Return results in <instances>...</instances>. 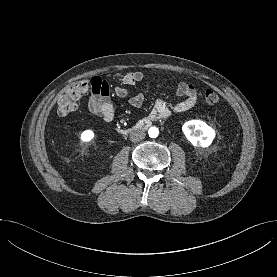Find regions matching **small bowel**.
Wrapping results in <instances>:
<instances>
[{"mask_svg":"<svg viewBox=\"0 0 277 277\" xmlns=\"http://www.w3.org/2000/svg\"><path fill=\"white\" fill-rule=\"evenodd\" d=\"M144 79V74L140 71L125 72L119 75V84L114 87V92L118 97H128V88L135 86ZM166 83L175 84L176 93L183 99L173 106H168L162 100H157L150 111L151 120L166 119L172 113H182L190 110L197 101V91L192 83L178 81L173 75L164 77ZM92 94L88 100V109L91 114L101 117L105 122H111L116 113V105L110 99V83L101 78H94L90 82ZM130 105L140 107L145 101V93L140 92L130 96Z\"/></svg>","mask_w":277,"mask_h":277,"instance_id":"small-bowel-1","label":"small bowel"}]
</instances>
